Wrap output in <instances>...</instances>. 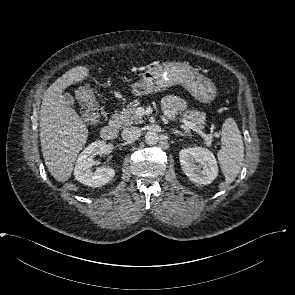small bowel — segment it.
Listing matches in <instances>:
<instances>
[{
    "instance_id": "obj_1",
    "label": "small bowel",
    "mask_w": 295,
    "mask_h": 295,
    "mask_svg": "<svg viewBox=\"0 0 295 295\" xmlns=\"http://www.w3.org/2000/svg\"><path fill=\"white\" fill-rule=\"evenodd\" d=\"M162 107L167 117H174L177 113L186 109L185 101L176 95H170L163 99Z\"/></svg>"
}]
</instances>
